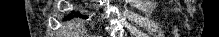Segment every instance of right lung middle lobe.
<instances>
[{"label":"right lung middle lobe","instance_id":"dd1d6c3e","mask_svg":"<svg viewBox=\"0 0 219 37\" xmlns=\"http://www.w3.org/2000/svg\"><path fill=\"white\" fill-rule=\"evenodd\" d=\"M74 16H80V17H82V18H88L87 16H85V15H80L79 13H77L76 15H74Z\"/></svg>","mask_w":219,"mask_h":37}]
</instances>
